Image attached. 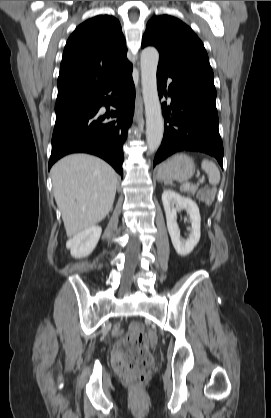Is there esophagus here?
<instances>
[{
	"instance_id": "1",
	"label": "esophagus",
	"mask_w": 271,
	"mask_h": 418,
	"mask_svg": "<svg viewBox=\"0 0 271 418\" xmlns=\"http://www.w3.org/2000/svg\"><path fill=\"white\" fill-rule=\"evenodd\" d=\"M142 112H143V103H142L141 97L138 96V99L135 104V115H134L135 121H138L139 117L142 115Z\"/></svg>"
}]
</instances>
